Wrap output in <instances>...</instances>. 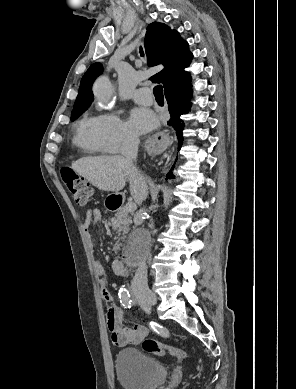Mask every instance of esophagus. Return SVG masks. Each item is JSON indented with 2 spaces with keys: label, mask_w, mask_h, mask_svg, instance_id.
Here are the masks:
<instances>
[{
  "label": "esophagus",
  "mask_w": 296,
  "mask_h": 389,
  "mask_svg": "<svg viewBox=\"0 0 296 389\" xmlns=\"http://www.w3.org/2000/svg\"><path fill=\"white\" fill-rule=\"evenodd\" d=\"M160 135H147L144 138V145L147 148H152L153 151H167L170 148V143L173 140V135L169 131H159Z\"/></svg>",
  "instance_id": "34e87169"
}]
</instances>
